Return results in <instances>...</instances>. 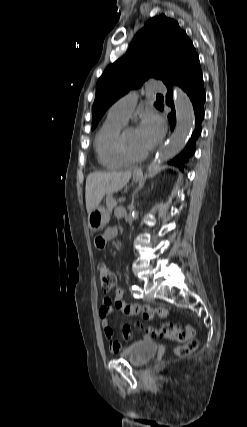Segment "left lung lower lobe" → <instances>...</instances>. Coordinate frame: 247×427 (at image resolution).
<instances>
[{
  "label": "left lung lower lobe",
  "instance_id": "1",
  "mask_svg": "<svg viewBox=\"0 0 247 427\" xmlns=\"http://www.w3.org/2000/svg\"><path fill=\"white\" fill-rule=\"evenodd\" d=\"M179 85L189 96L195 113L196 126L188 141L186 147L177 157H175L170 163L175 164L182 170L185 165V161L194 154L196 141L201 134V122L204 118V102H205V90L203 83L202 71L200 68L199 57L194 58L191 63L171 82L167 83L168 93L166 95V104L172 108L171 113L168 115L171 129L173 130L176 123V114L173 103V89L172 85ZM160 110H163V105H160Z\"/></svg>",
  "mask_w": 247,
  "mask_h": 427
}]
</instances>
